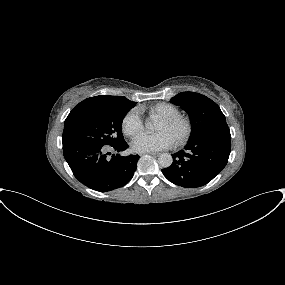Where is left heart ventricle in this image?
Wrapping results in <instances>:
<instances>
[{
	"label": "left heart ventricle",
	"mask_w": 285,
	"mask_h": 285,
	"mask_svg": "<svg viewBox=\"0 0 285 285\" xmlns=\"http://www.w3.org/2000/svg\"><path fill=\"white\" fill-rule=\"evenodd\" d=\"M155 132H165L167 133L172 140L174 141L177 136L181 132V128L179 126H169L166 125L165 123L161 122L160 120L157 122L156 127H155Z\"/></svg>",
	"instance_id": "1"
}]
</instances>
